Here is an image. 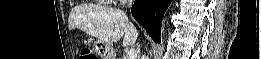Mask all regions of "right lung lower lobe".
Masks as SVG:
<instances>
[{
  "mask_svg": "<svg viewBox=\"0 0 261 59\" xmlns=\"http://www.w3.org/2000/svg\"><path fill=\"white\" fill-rule=\"evenodd\" d=\"M170 3L171 0H135L132 6L133 17L157 43H160L162 18Z\"/></svg>",
  "mask_w": 261,
  "mask_h": 59,
  "instance_id": "obj_1",
  "label": "right lung lower lobe"
}]
</instances>
